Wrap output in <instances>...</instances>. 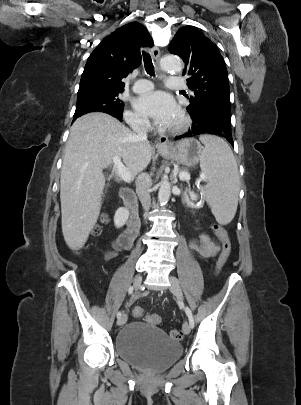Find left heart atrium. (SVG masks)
<instances>
[{"instance_id":"left-heart-atrium-1","label":"left heart atrium","mask_w":301,"mask_h":405,"mask_svg":"<svg viewBox=\"0 0 301 405\" xmlns=\"http://www.w3.org/2000/svg\"><path fill=\"white\" fill-rule=\"evenodd\" d=\"M134 107L141 115L152 118L162 126H171L180 117V109L174 99L162 91H153L139 96Z\"/></svg>"}]
</instances>
